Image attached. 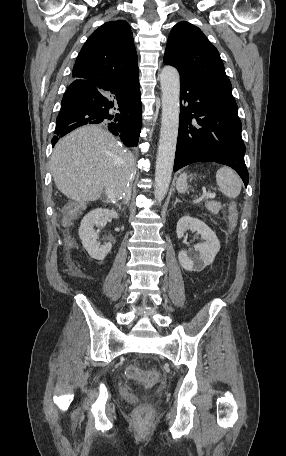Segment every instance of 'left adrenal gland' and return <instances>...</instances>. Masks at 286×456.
<instances>
[{
    "label": "left adrenal gland",
    "mask_w": 286,
    "mask_h": 456,
    "mask_svg": "<svg viewBox=\"0 0 286 456\" xmlns=\"http://www.w3.org/2000/svg\"><path fill=\"white\" fill-rule=\"evenodd\" d=\"M178 202H180V200H179V199H176V201H175V203H174V207H175V205H176Z\"/></svg>",
    "instance_id": "1"
}]
</instances>
